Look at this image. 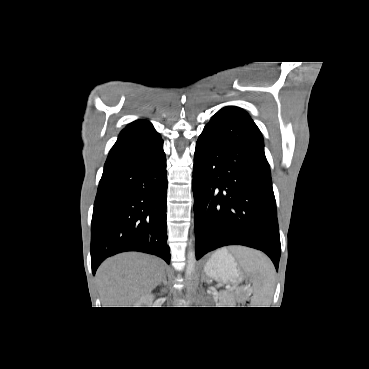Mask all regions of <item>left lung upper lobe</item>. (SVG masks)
Segmentation results:
<instances>
[{"label": "left lung upper lobe", "mask_w": 369, "mask_h": 369, "mask_svg": "<svg viewBox=\"0 0 369 369\" xmlns=\"http://www.w3.org/2000/svg\"><path fill=\"white\" fill-rule=\"evenodd\" d=\"M236 108H238V107H236ZM238 109H240V110H242L241 108H238ZM243 112H245L244 110H242ZM246 113V112H245ZM247 114V113H246Z\"/></svg>", "instance_id": "obj_1"}]
</instances>
